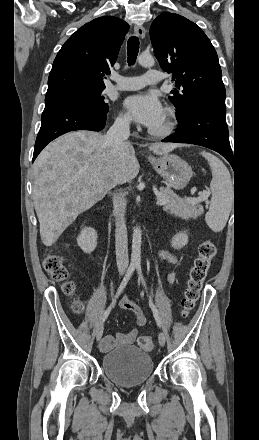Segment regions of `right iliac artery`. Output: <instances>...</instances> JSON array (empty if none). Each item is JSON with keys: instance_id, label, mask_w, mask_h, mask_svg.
Here are the masks:
<instances>
[{"instance_id": "obj_1", "label": "right iliac artery", "mask_w": 259, "mask_h": 440, "mask_svg": "<svg viewBox=\"0 0 259 440\" xmlns=\"http://www.w3.org/2000/svg\"><path fill=\"white\" fill-rule=\"evenodd\" d=\"M135 267H136V266H135L134 264H131V265L129 266V268H128V270H127V272H126V274H125V276H124V278H123V280H122V282H121V284H120V286H119V288H118V290H117V293H116L115 298L113 299L112 303L110 304V306L107 308V310L104 312V314H103V316H102V323H103V322L107 319V317L109 316L111 309H112V308L114 307V305H115L116 299L119 297V295L122 293V291H123L124 288L126 287L128 281L130 280V278H131V276H132V274H133V272H134V270H135Z\"/></svg>"}]
</instances>
